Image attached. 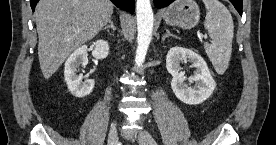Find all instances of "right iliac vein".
<instances>
[{
    "label": "right iliac vein",
    "instance_id": "63e3f726",
    "mask_svg": "<svg viewBox=\"0 0 276 145\" xmlns=\"http://www.w3.org/2000/svg\"><path fill=\"white\" fill-rule=\"evenodd\" d=\"M117 143H118L117 123L114 122L111 124V127H110L107 144L117 145Z\"/></svg>",
    "mask_w": 276,
    "mask_h": 145
}]
</instances>
